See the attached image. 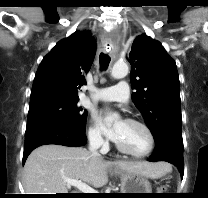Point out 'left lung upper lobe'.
Returning a JSON list of instances; mask_svg holds the SVG:
<instances>
[{
    "label": "left lung upper lobe",
    "mask_w": 208,
    "mask_h": 198,
    "mask_svg": "<svg viewBox=\"0 0 208 198\" xmlns=\"http://www.w3.org/2000/svg\"><path fill=\"white\" fill-rule=\"evenodd\" d=\"M132 100L155 143L170 139L183 145L180 83L175 61L160 42L139 35L129 53Z\"/></svg>",
    "instance_id": "obj_1"
}]
</instances>
